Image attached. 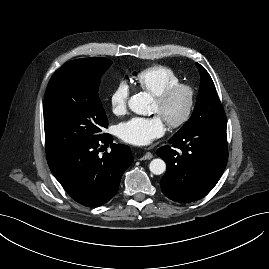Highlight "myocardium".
<instances>
[{"label": "myocardium", "mask_w": 269, "mask_h": 269, "mask_svg": "<svg viewBox=\"0 0 269 269\" xmlns=\"http://www.w3.org/2000/svg\"><path fill=\"white\" fill-rule=\"evenodd\" d=\"M178 91H185L187 93V104L185 106L183 113L179 117L175 119H164L166 124L171 128L182 127L190 119L195 105L196 95L194 88L190 84L179 82L166 87L160 93L154 95V100L157 103L164 105Z\"/></svg>", "instance_id": "f54148a6"}]
</instances>
